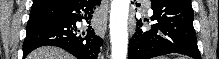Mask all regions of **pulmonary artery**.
Segmentation results:
<instances>
[{
  "label": "pulmonary artery",
  "instance_id": "e3ab8cb5",
  "mask_svg": "<svg viewBox=\"0 0 219 59\" xmlns=\"http://www.w3.org/2000/svg\"><path fill=\"white\" fill-rule=\"evenodd\" d=\"M145 4H148V1H145Z\"/></svg>",
  "mask_w": 219,
  "mask_h": 59
}]
</instances>
